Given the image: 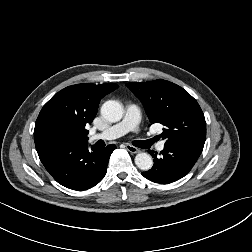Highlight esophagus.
<instances>
[{
	"label": "esophagus",
	"mask_w": 252,
	"mask_h": 252,
	"mask_svg": "<svg viewBox=\"0 0 252 252\" xmlns=\"http://www.w3.org/2000/svg\"><path fill=\"white\" fill-rule=\"evenodd\" d=\"M125 147L131 153H139L140 152V150L138 148H136V147H134V146H132L130 144H126Z\"/></svg>",
	"instance_id": "obj_1"
}]
</instances>
